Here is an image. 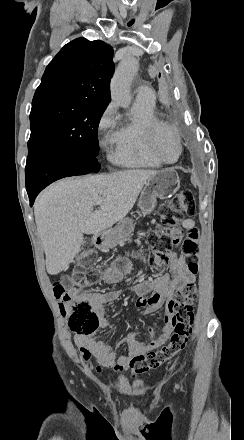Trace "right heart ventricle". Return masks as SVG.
<instances>
[{
    "label": "right heart ventricle",
    "instance_id": "1",
    "mask_svg": "<svg viewBox=\"0 0 244 440\" xmlns=\"http://www.w3.org/2000/svg\"><path fill=\"white\" fill-rule=\"evenodd\" d=\"M131 114L129 120L124 121L118 130L108 136V143L115 146L113 160L126 167H159L161 163L150 149L152 141L148 135L154 132L149 127L154 122H159L156 103L137 102L135 99ZM122 145L127 146L118 149Z\"/></svg>",
    "mask_w": 244,
    "mask_h": 440
}]
</instances>
